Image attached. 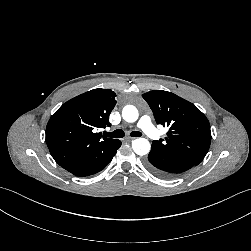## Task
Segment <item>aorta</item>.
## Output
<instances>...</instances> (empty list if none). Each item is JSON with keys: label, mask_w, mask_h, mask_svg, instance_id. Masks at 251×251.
Returning <instances> with one entry per match:
<instances>
[{"label": "aorta", "mask_w": 251, "mask_h": 251, "mask_svg": "<svg viewBox=\"0 0 251 251\" xmlns=\"http://www.w3.org/2000/svg\"><path fill=\"white\" fill-rule=\"evenodd\" d=\"M122 117L126 122H135L138 117V110L133 105H127L122 110ZM132 148L137 155H146L149 153L151 145L150 142L145 138H137L132 142Z\"/></svg>", "instance_id": "obj_1"}]
</instances>
